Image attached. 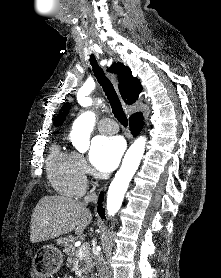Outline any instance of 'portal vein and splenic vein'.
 Segmentation results:
<instances>
[{
  "label": "portal vein and splenic vein",
  "mask_w": 221,
  "mask_h": 278,
  "mask_svg": "<svg viewBox=\"0 0 221 278\" xmlns=\"http://www.w3.org/2000/svg\"><path fill=\"white\" fill-rule=\"evenodd\" d=\"M87 244L86 243H83L82 245H81V247L79 248V253H78V255L79 256H82V254L84 253V251L87 249Z\"/></svg>",
  "instance_id": "obj_1"
}]
</instances>
